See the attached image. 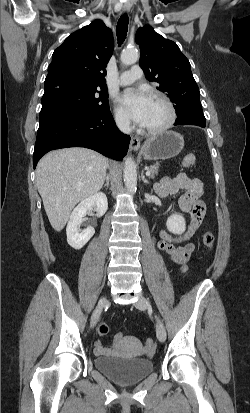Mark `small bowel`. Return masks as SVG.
<instances>
[{
	"label": "small bowel",
	"mask_w": 250,
	"mask_h": 413,
	"mask_svg": "<svg viewBox=\"0 0 250 413\" xmlns=\"http://www.w3.org/2000/svg\"><path fill=\"white\" fill-rule=\"evenodd\" d=\"M155 191L163 198L175 195L179 191H184V194L179 198V207L183 212L190 213L188 228L183 234L176 236L161 230L158 248L171 263L180 267L181 272H185L191 255L195 250V245L187 243V241L202 226L205 216V205L200 199L203 193L202 183L197 178L180 173L174 177H165L156 183ZM125 342H130L138 349H141L136 339L124 336L118 343H112V348H105L100 342H97L94 352L96 355H116L121 351V345Z\"/></svg>",
	"instance_id": "small-bowel-1"
}]
</instances>
